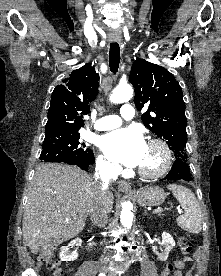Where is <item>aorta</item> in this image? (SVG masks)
Returning <instances> with one entry per match:
<instances>
[{"label": "aorta", "mask_w": 221, "mask_h": 276, "mask_svg": "<svg viewBox=\"0 0 221 276\" xmlns=\"http://www.w3.org/2000/svg\"><path fill=\"white\" fill-rule=\"evenodd\" d=\"M133 95V88L130 85L116 87L110 95L112 103H124L129 101ZM120 221L124 227H131L133 223L132 204L127 202L122 205Z\"/></svg>", "instance_id": "762f6f07"}]
</instances>
